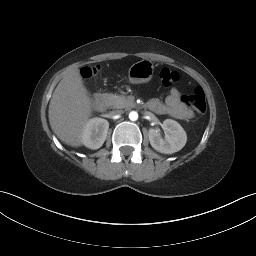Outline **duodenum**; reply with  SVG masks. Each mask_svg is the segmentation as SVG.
Masks as SVG:
<instances>
[{
  "mask_svg": "<svg viewBox=\"0 0 256 256\" xmlns=\"http://www.w3.org/2000/svg\"><path fill=\"white\" fill-rule=\"evenodd\" d=\"M92 104L97 110L103 109L107 105V97L103 94H95L92 98Z\"/></svg>",
  "mask_w": 256,
  "mask_h": 256,
  "instance_id": "1",
  "label": "duodenum"
}]
</instances>
